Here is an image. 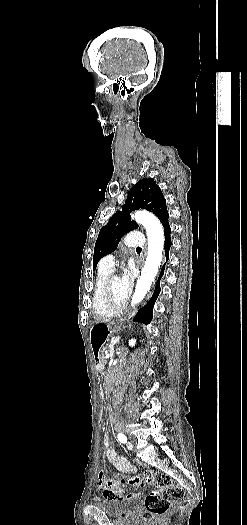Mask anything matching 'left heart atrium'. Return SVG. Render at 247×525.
I'll return each instance as SVG.
<instances>
[{
    "label": "left heart atrium",
    "instance_id": "39dd6f15",
    "mask_svg": "<svg viewBox=\"0 0 247 525\" xmlns=\"http://www.w3.org/2000/svg\"><path fill=\"white\" fill-rule=\"evenodd\" d=\"M131 261H132L133 264H134V260H131ZM134 267H135V265H133V266H129V267L125 270V272H124V274H123V276H122V278H121V280H120V284H119V293H120L123 297H126V296L130 293V291H131L132 283H133V277H132V275H131V273H130V270L133 269Z\"/></svg>",
    "mask_w": 247,
    "mask_h": 525
}]
</instances>
